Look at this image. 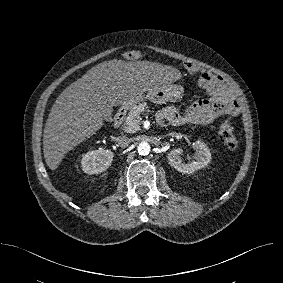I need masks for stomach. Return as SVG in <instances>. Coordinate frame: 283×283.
Instances as JSON below:
<instances>
[{
	"label": "stomach",
	"mask_w": 283,
	"mask_h": 283,
	"mask_svg": "<svg viewBox=\"0 0 283 283\" xmlns=\"http://www.w3.org/2000/svg\"><path fill=\"white\" fill-rule=\"evenodd\" d=\"M183 97V88L180 85L162 84L153 88L142 95L134 98L130 102L124 104L131 108L135 104L143 100H150L156 104H165L166 102H176Z\"/></svg>",
	"instance_id": "stomach-1"
}]
</instances>
